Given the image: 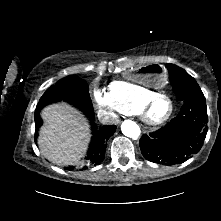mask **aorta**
<instances>
[{
  "instance_id": "762f6f07",
  "label": "aorta",
  "mask_w": 221,
  "mask_h": 221,
  "mask_svg": "<svg viewBox=\"0 0 221 221\" xmlns=\"http://www.w3.org/2000/svg\"><path fill=\"white\" fill-rule=\"evenodd\" d=\"M122 133L132 139H137L140 136L141 130L136 122L125 120L121 125Z\"/></svg>"
}]
</instances>
